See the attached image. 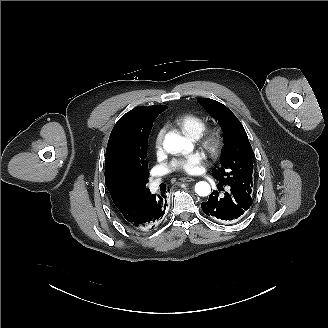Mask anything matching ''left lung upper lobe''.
<instances>
[{
  "mask_svg": "<svg viewBox=\"0 0 328 328\" xmlns=\"http://www.w3.org/2000/svg\"><path fill=\"white\" fill-rule=\"evenodd\" d=\"M199 103L218 120L224 132L220 167L212 174L222 185L251 194L253 188L252 147L238 118L222 103L209 98Z\"/></svg>",
  "mask_w": 328,
  "mask_h": 328,
  "instance_id": "5c2ea615",
  "label": "left lung upper lobe"
}]
</instances>
